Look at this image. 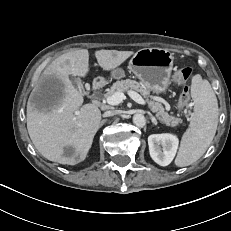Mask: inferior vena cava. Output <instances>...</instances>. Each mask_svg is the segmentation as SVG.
<instances>
[{
	"label": "inferior vena cava",
	"mask_w": 231,
	"mask_h": 231,
	"mask_svg": "<svg viewBox=\"0 0 231 231\" xmlns=\"http://www.w3.org/2000/svg\"><path fill=\"white\" fill-rule=\"evenodd\" d=\"M117 114H118L117 110H110V111L104 112L103 117H111Z\"/></svg>",
	"instance_id": "1"
}]
</instances>
